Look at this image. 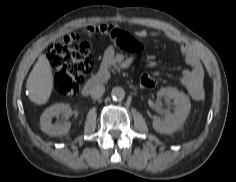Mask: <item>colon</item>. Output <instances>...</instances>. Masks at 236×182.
I'll return each mask as SVG.
<instances>
[{"label": "colon", "mask_w": 236, "mask_h": 182, "mask_svg": "<svg viewBox=\"0 0 236 182\" xmlns=\"http://www.w3.org/2000/svg\"><path fill=\"white\" fill-rule=\"evenodd\" d=\"M88 33H103L107 35L122 50L129 53H140L142 43L131 34L113 25H100L90 28ZM48 58L54 71V86L56 91L65 97L74 96L95 66L93 55L88 43L79 41L75 35H68L51 42L47 47ZM157 81L150 73H143L140 85L143 88H153Z\"/></svg>", "instance_id": "obj_1"}]
</instances>
